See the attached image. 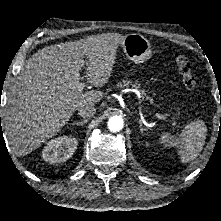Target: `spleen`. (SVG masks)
I'll return each mask as SVG.
<instances>
[{
  "instance_id": "3e777b00",
  "label": "spleen",
  "mask_w": 221,
  "mask_h": 221,
  "mask_svg": "<svg viewBox=\"0 0 221 221\" xmlns=\"http://www.w3.org/2000/svg\"><path fill=\"white\" fill-rule=\"evenodd\" d=\"M207 134V128L203 120L193 121L185 126L179 136L163 133L159 143L164 148L175 147L181 162H189L196 159L203 149Z\"/></svg>"
}]
</instances>
